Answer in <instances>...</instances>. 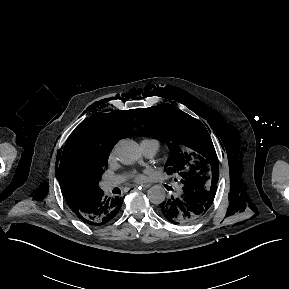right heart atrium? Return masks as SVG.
I'll return each instance as SVG.
<instances>
[{"mask_svg":"<svg viewBox=\"0 0 289 289\" xmlns=\"http://www.w3.org/2000/svg\"><path fill=\"white\" fill-rule=\"evenodd\" d=\"M114 158V151L110 153L109 159L112 160Z\"/></svg>","mask_w":289,"mask_h":289,"instance_id":"d8ad5b80","label":"right heart atrium"}]
</instances>
